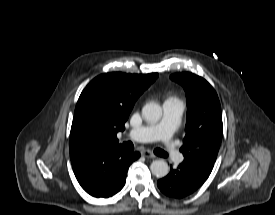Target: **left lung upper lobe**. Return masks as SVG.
I'll use <instances>...</instances> for the list:
<instances>
[{
	"instance_id": "1",
	"label": "left lung upper lobe",
	"mask_w": 275,
	"mask_h": 215,
	"mask_svg": "<svg viewBox=\"0 0 275 215\" xmlns=\"http://www.w3.org/2000/svg\"><path fill=\"white\" fill-rule=\"evenodd\" d=\"M170 78L186 92L187 120L180 151L186 165L210 175L220 148L223 132L221 106L213 87L192 73H176Z\"/></svg>"
}]
</instances>
